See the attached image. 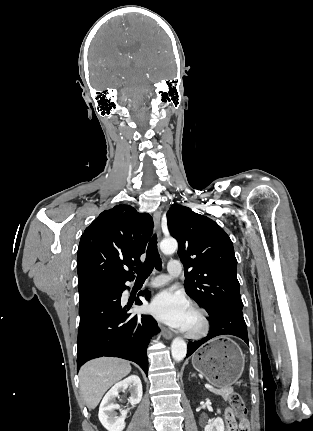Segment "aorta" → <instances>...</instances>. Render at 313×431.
<instances>
[{
  "mask_svg": "<svg viewBox=\"0 0 313 431\" xmlns=\"http://www.w3.org/2000/svg\"><path fill=\"white\" fill-rule=\"evenodd\" d=\"M178 248L177 241L173 238L163 239L160 243V249L162 253L169 255L173 254ZM187 353L186 342L177 337L172 341L171 344V354L175 361L180 362L184 359Z\"/></svg>",
  "mask_w": 313,
  "mask_h": 431,
  "instance_id": "aorta-1",
  "label": "aorta"
}]
</instances>
